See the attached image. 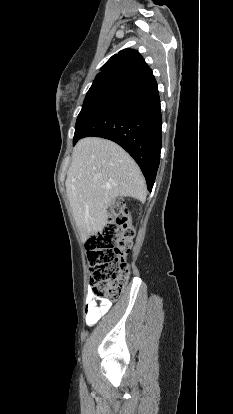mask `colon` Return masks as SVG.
I'll use <instances>...</instances> for the list:
<instances>
[{"mask_svg": "<svg viewBox=\"0 0 233 414\" xmlns=\"http://www.w3.org/2000/svg\"><path fill=\"white\" fill-rule=\"evenodd\" d=\"M134 230L128 224L124 202L116 200L104 229L87 243L90 284L95 296L118 300L128 282L130 269L125 258L131 250Z\"/></svg>", "mask_w": 233, "mask_h": 414, "instance_id": "colon-1", "label": "colon"}]
</instances>
